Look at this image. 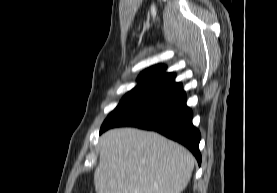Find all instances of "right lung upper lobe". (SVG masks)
Listing matches in <instances>:
<instances>
[{"instance_id":"obj_1","label":"right lung upper lobe","mask_w":277,"mask_h":193,"mask_svg":"<svg viewBox=\"0 0 277 193\" xmlns=\"http://www.w3.org/2000/svg\"><path fill=\"white\" fill-rule=\"evenodd\" d=\"M165 71L166 66L164 65H156L143 71L138 77L139 83L132 91L147 95L166 86L175 84V74Z\"/></svg>"}]
</instances>
